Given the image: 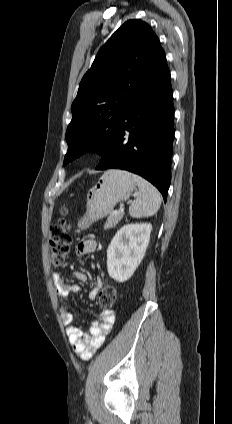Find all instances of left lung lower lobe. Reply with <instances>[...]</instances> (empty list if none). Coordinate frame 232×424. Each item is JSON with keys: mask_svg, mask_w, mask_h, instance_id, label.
<instances>
[{"mask_svg": "<svg viewBox=\"0 0 232 424\" xmlns=\"http://www.w3.org/2000/svg\"><path fill=\"white\" fill-rule=\"evenodd\" d=\"M174 105L166 57L128 104L97 170L123 169L138 174L161 192L171 182Z\"/></svg>", "mask_w": 232, "mask_h": 424, "instance_id": "1", "label": "left lung lower lobe"}]
</instances>
